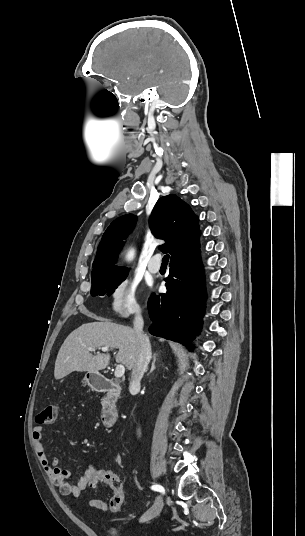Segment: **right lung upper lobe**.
<instances>
[{"label": "right lung upper lobe", "instance_id": "cb5924a9", "mask_svg": "<svg viewBox=\"0 0 305 536\" xmlns=\"http://www.w3.org/2000/svg\"><path fill=\"white\" fill-rule=\"evenodd\" d=\"M198 217L178 196L161 197L150 217V228L155 237L166 241L159 248L171 254V260L183 257L199 248ZM136 216L127 214L115 219L105 231L93 262L92 281L128 273L127 268L113 265Z\"/></svg>", "mask_w": 305, "mask_h": 536}]
</instances>
